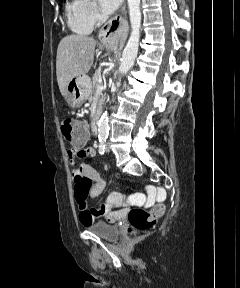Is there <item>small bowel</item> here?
Instances as JSON below:
<instances>
[{"label": "small bowel", "mask_w": 240, "mask_h": 288, "mask_svg": "<svg viewBox=\"0 0 240 288\" xmlns=\"http://www.w3.org/2000/svg\"><path fill=\"white\" fill-rule=\"evenodd\" d=\"M88 136L87 131L86 138L83 141L72 143V147L67 151L68 159L72 165L76 163L77 158L95 156V149L86 146ZM72 176L79 219L83 225H91L100 216H105L109 222H116L125 217V207L129 204L130 200L119 192L111 193L106 202L99 208H89L88 198L99 196L106 186L105 181L92 165L86 163L80 164L78 168L73 170Z\"/></svg>", "instance_id": "small-bowel-1"}]
</instances>
